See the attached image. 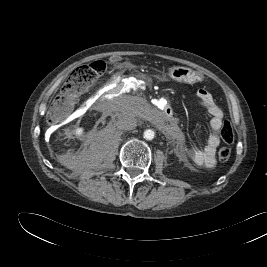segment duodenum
I'll use <instances>...</instances> for the list:
<instances>
[{"mask_svg":"<svg viewBox=\"0 0 267 267\" xmlns=\"http://www.w3.org/2000/svg\"><path fill=\"white\" fill-rule=\"evenodd\" d=\"M126 91V84L123 81H118L112 85V92L114 94H121ZM160 112L166 114L170 119H172V110L169 106L163 107Z\"/></svg>","mask_w":267,"mask_h":267,"instance_id":"1","label":"duodenum"}]
</instances>
